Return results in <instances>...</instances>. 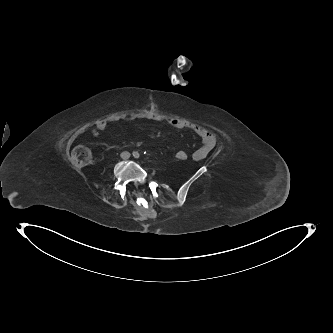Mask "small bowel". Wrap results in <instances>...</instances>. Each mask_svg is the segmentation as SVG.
Instances as JSON below:
<instances>
[{
	"label": "small bowel",
	"mask_w": 333,
	"mask_h": 333,
	"mask_svg": "<svg viewBox=\"0 0 333 333\" xmlns=\"http://www.w3.org/2000/svg\"><path fill=\"white\" fill-rule=\"evenodd\" d=\"M128 120L129 121L152 120V121H156V122H162V121H164V118H162L161 116H154V115H150V114H137V115L130 116L128 118ZM168 123L176 129L191 130L201 139L202 146L200 148H198L192 154V158L195 161L204 160L216 145L215 135L211 131H209L207 128H205L201 125L189 122L184 119H171L168 121ZM108 125H109V122L106 120L97 121L94 129L91 131V134L93 136H97L99 132L106 130ZM180 151L187 153L184 150H180Z\"/></svg>",
	"instance_id": "1"
}]
</instances>
